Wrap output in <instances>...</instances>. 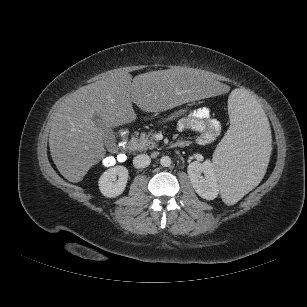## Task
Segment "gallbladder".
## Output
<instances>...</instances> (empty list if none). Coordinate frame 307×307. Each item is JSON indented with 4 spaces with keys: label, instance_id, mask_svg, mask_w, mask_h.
I'll return each instance as SVG.
<instances>
[{
    "label": "gallbladder",
    "instance_id": "1",
    "mask_svg": "<svg viewBox=\"0 0 307 307\" xmlns=\"http://www.w3.org/2000/svg\"><path fill=\"white\" fill-rule=\"evenodd\" d=\"M93 121L96 124V126L102 130L104 141L106 143L112 142L114 140V133L111 127L107 126L104 120L98 114L94 115Z\"/></svg>",
    "mask_w": 307,
    "mask_h": 307
}]
</instances>
